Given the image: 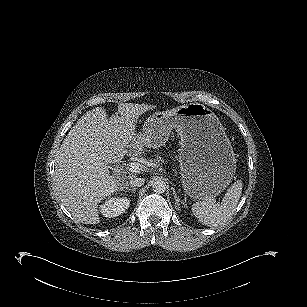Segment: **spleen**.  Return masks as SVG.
Returning <instances> with one entry per match:
<instances>
[{
    "instance_id": "obj_1",
    "label": "spleen",
    "mask_w": 307,
    "mask_h": 307,
    "mask_svg": "<svg viewBox=\"0 0 307 307\" xmlns=\"http://www.w3.org/2000/svg\"><path fill=\"white\" fill-rule=\"evenodd\" d=\"M242 193V181H235L227 190L220 204L215 197L206 195L192 206V213L204 225L216 228L234 214Z\"/></svg>"
}]
</instances>
